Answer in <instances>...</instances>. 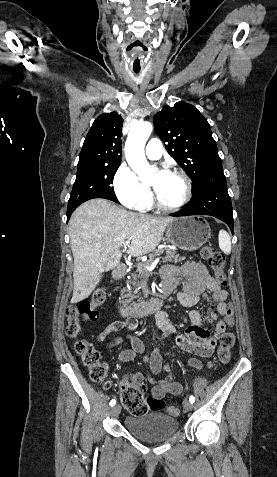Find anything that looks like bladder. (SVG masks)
<instances>
[{"instance_id": "obj_1", "label": "bladder", "mask_w": 277, "mask_h": 477, "mask_svg": "<svg viewBox=\"0 0 277 477\" xmlns=\"http://www.w3.org/2000/svg\"><path fill=\"white\" fill-rule=\"evenodd\" d=\"M124 425L133 435L145 441L167 439L175 434L179 428V422L176 418L159 411L127 416Z\"/></svg>"}]
</instances>
